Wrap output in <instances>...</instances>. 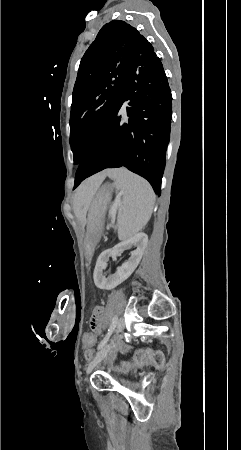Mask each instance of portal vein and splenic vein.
<instances>
[{
  "mask_svg": "<svg viewBox=\"0 0 241 450\" xmlns=\"http://www.w3.org/2000/svg\"><path fill=\"white\" fill-rule=\"evenodd\" d=\"M120 204H118L117 202H114L113 204H109L108 208L110 209L111 213H116L118 209H120Z\"/></svg>",
  "mask_w": 241,
  "mask_h": 450,
  "instance_id": "obj_1",
  "label": "portal vein and splenic vein"
}]
</instances>
